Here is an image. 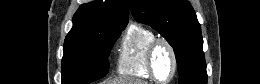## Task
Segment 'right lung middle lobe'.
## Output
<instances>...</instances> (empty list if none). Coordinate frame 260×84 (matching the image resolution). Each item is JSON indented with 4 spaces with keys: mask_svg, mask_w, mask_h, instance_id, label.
I'll list each match as a JSON object with an SVG mask.
<instances>
[{
    "mask_svg": "<svg viewBox=\"0 0 260 84\" xmlns=\"http://www.w3.org/2000/svg\"><path fill=\"white\" fill-rule=\"evenodd\" d=\"M125 26L105 27L89 40L64 43L62 84H88L108 73V56Z\"/></svg>",
    "mask_w": 260,
    "mask_h": 84,
    "instance_id": "obj_1",
    "label": "right lung middle lobe"
}]
</instances>
